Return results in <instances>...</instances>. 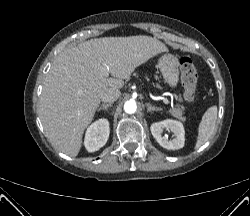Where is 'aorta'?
<instances>
[{
  "instance_id": "obj_1",
  "label": "aorta",
  "mask_w": 250,
  "mask_h": 216,
  "mask_svg": "<svg viewBox=\"0 0 250 216\" xmlns=\"http://www.w3.org/2000/svg\"><path fill=\"white\" fill-rule=\"evenodd\" d=\"M136 109H137V105L134 101H127L125 104H124V110L126 113L128 114H133L136 112Z\"/></svg>"
}]
</instances>
